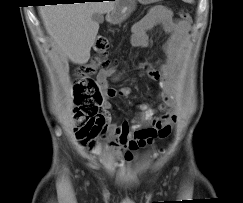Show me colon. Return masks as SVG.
<instances>
[{"instance_id": "colon-1", "label": "colon", "mask_w": 243, "mask_h": 203, "mask_svg": "<svg viewBox=\"0 0 243 203\" xmlns=\"http://www.w3.org/2000/svg\"><path fill=\"white\" fill-rule=\"evenodd\" d=\"M180 18L190 22L191 16L186 11H180ZM110 44L105 37H99L94 44L93 59L79 67L74 82L76 108L74 117L76 120V134L81 143L90 141L91 130L95 116L98 113V104L103 99L98 83L92 78L97 70H105L111 67V61L107 58Z\"/></svg>"}]
</instances>
